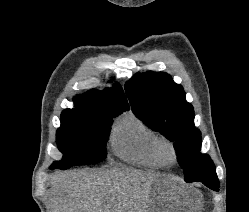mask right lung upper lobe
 I'll use <instances>...</instances> for the list:
<instances>
[{"mask_svg":"<svg viewBox=\"0 0 249 212\" xmlns=\"http://www.w3.org/2000/svg\"><path fill=\"white\" fill-rule=\"evenodd\" d=\"M76 107L129 110V105L119 83L103 91L91 89L88 92L74 97Z\"/></svg>","mask_w":249,"mask_h":212,"instance_id":"right-lung-upper-lobe-1","label":"right lung upper lobe"}]
</instances>
